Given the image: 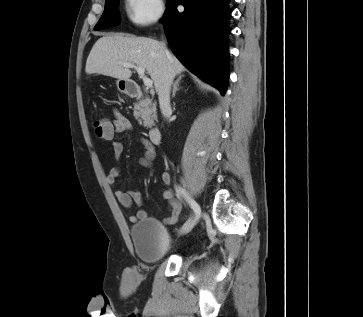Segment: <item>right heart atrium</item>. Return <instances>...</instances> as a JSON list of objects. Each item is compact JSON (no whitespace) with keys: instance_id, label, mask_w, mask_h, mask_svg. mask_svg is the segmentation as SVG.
<instances>
[{"instance_id":"right-heart-atrium-1","label":"right heart atrium","mask_w":363,"mask_h":317,"mask_svg":"<svg viewBox=\"0 0 363 317\" xmlns=\"http://www.w3.org/2000/svg\"><path fill=\"white\" fill-rule=\"evenodd\" d=\"M124 8L129 21L137 26L157 23L165 12L163 0H124Z\"/></svg>"}]
</instances>
